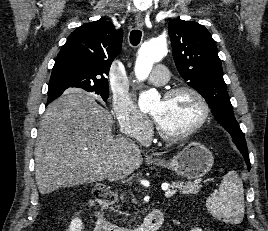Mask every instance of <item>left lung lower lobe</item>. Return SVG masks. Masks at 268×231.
<instances>
[{"instance_id":"obj_1","label":"left lung lower lobe","mask_w":268,"mask_h":231,"mask_svg":"<svg viewBox=\"0 0 268 231\" xmlns=\"http://www.w3.org/2000/svg\"><path fill=\"white\" fill-rule=\"evenodd\" d=\"M247 163V167H248V170H250L251 166H250V160H249V156H248V151H245V150H242L240 151Z\"/></svg>"}]
</instances>
